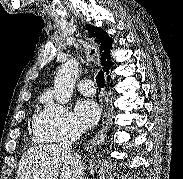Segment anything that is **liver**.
<instances>
[{
	"instance_id": "6515ba94",
	"label": "liver",
	"mask_w": 183,
	"mask_h": 179,
	"mask_svg": "<svg viewBox=\"0 0 183 179\" xmlns=\"http://www.w3.org/2000/svg\"><path fill=\"white\" fill-rule=\"evenodd\" d=\"M74 156L59 145L29 148L21 157L16 179H73Z\"/></svg>"
}]
</instances>
